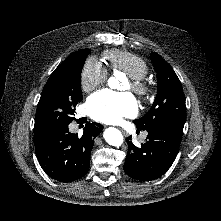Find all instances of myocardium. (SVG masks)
I'll use <instances>...</instances> for the list:
<instances>
[{
  "instance_id": "1",
  "label": "myocardium",
  "mask_w": 221,
  "mask_h": 221,
  "mask_svg": "<svg viewBox=\"0 0 221 221\" xmlns=\"http://www.w3.org/2000/svg\"><path fill=\"white\" fill-rule=\"evenodd\" d=\"M130 89L139 97L141 100L147 99L151 94L150 84L143 79H133L129 80Z\"/></svg>"
}]
</instances>
